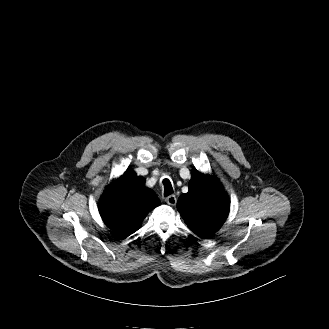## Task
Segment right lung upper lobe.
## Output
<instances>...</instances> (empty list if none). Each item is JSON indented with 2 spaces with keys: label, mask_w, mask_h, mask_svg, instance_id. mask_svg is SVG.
<instances>
[{
  "label": "right lung upper lobe",
  "mask_w": 329,
  "mask_h": 329,
  "mask_svg": "<svg viewBox=\"0 0 329 329\" xmlns=\"http://www.w3.org/2000/svg\"><path fill=\"white\" fill-rule=\"evenodd\" d=\"M144 184L142 177L127 170L107 187L100 200L103 221L121 238L137 231L148 212L160 205L156 194Z\"/></svg>",
  "instance_id": "1"
}]
</instances>
